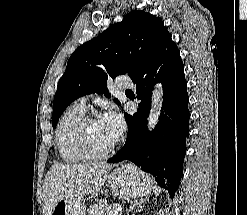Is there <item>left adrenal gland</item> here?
<instances>
[{"label":"left adrenal gland","instance_id":"1","mask_svg":"<svg viewBox=\"0 0 247 215\" xmlns=\"http://www.w3.org/2000/svg\"><path fill=\"white\" fill-rule=\"evenodd\" d=\"M148 201V198H141L140 200H136L134 201L130 208H129V211L133 210L136 206H140L141 204L145 203Z\"/></svg>","mask_w":247,"mask_h":215}]
</instances>
